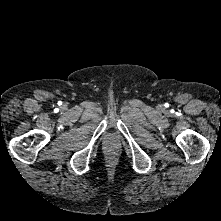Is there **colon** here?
I'll use <instances>...</instances> for the list:
<instances>
[{
    "instance_id": "1",
    "label": "colon",
    "mask_w": 221,
    "mask_h": 221,
    "mask_svg": "<svg viewBox=\"0 0 221 221\" xmlns=\"http://www.w3.org/2000/svg\"><path fill=\"white\" fill-rule=\"evenodd\" d=\"M108 158H109L110 161H113V160H114L113 154H109V155H108Z\"/></svg>"
}]
</instances>
